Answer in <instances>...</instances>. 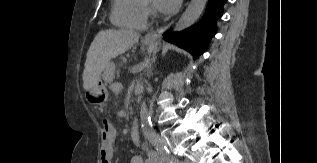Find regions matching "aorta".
Masks as SVG:
<instances>
[{
	"label": "aorta",
	"mask_w": 317,
	"mask_h": 163,
	"mask_svg": "<svg viewBox=\"0 0 317 163\" xmlns=\"http://www.w3.org/2000/svg\"><path fill=\"white\" fill-rule=\"evenodd\" d=\"M207 0H191L187 9L175 24L174 31H182L193 25L202 14ZM141 123L147 128L150 126L151 119L147 109L146 102L143 101L140 107Z\"/></svg>",
	"instance_id": "aorta-1"
}]
</instances>
